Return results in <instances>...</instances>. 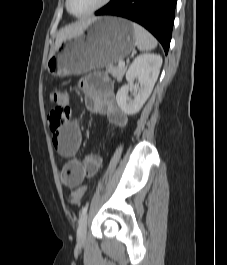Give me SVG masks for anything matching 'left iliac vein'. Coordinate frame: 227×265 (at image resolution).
Wrapping results in <instances>:
<instances>
[{"mask_svg":"<svg viewBox=\"0 0 227 265\" xmlns=\"http://www.w3.org/2000/svg\"><path fill=\"white\" fill-rule=\"evenodd\" d=\"M86 234H87V215L85 214L78 226L77 229V241L79 244H84L86 241Z\"/></svg>","mask_w":227,"mask_h":265,"instance_id":"left-iliac-vein-1","label":"left iliac vein"}]
</instances>
